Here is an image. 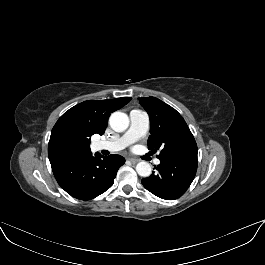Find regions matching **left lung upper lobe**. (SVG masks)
Instances as JSON below:
<instances>
[{
  "mask_svg": "<svg viewBox=\"0 0 265 265\" xmlns=\"http://www.w3.org/2000/svg\"><path fill=\"white\" fill-rule=\"evenodd\" d=\"M150 118L148 148L161 150L159 159L197 156L196 141L183 117L171 106L155 97L138 98Z\"/></svg>",
  "mask_w": 265,
  "mask_h": 265,
  "instance_id": "left-lung-upper-lobe-1",
  "label": "left lung upper lobe"
}]
</instances>
